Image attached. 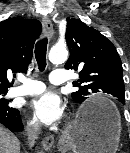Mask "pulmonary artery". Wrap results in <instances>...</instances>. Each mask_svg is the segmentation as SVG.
<instances>
[{
  "mask_svg": "<svg viewBox=\"0 0 130 153\" xmlns=\"http://www.w3.org/2000/svg\"><path fill=\"white\" fill-rule=\"evenodd\" d=\"M49 80L54 85H60L68 80L67 73L63 70H55L49 75ZM23 85L14 87L9 90L8 96H26V95H37L45 90V84L37 81L22 78Z\"/></svg>",
  "mask_w": 130,
  "mask_h": 153,
  "instance_id": "1",
  "label": "pulmonary artery"
}]
</instances>
